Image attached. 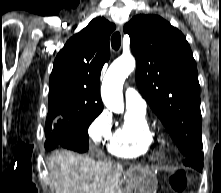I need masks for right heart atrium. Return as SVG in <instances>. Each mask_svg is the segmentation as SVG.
<instances>
[{"mask_svg":"<svg viewBox=\"0 0 221 193\" xmlns=\"http://www.w3.org/2000/svg\"><path fill=\"white\" fill-rule=\"evenodd\" d=\"M113 120L107 110H102L91 122L88 133L96 145L106 143L112 134Z\"/></svg>","mask_w":221,"mask_h":193,"instance_id":"1","label":"right heart atrium"}]
</instances>
